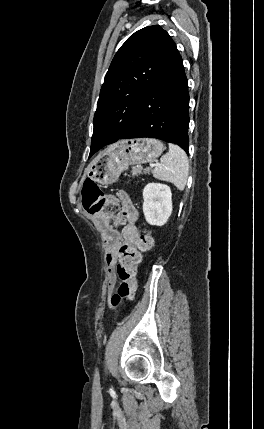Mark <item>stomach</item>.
Instances as JSON below:
<instances>
[{"label": "stomach", "instance_id": "obj_1", "mask_svg": "<svg viewBox=\"0 0 264 429\" xmlns=\"http://www.w3.org/2000/svg\"><path fill=\"white\" fill-rule=\"evenodd\" d=\"M163 150V143L154 138L119 141L91 162L87 176L98 184H113L130 165L151 162L158 158Z\"/></svg>", "mask_w": 264, "mask_h": 429}]
</instances>
